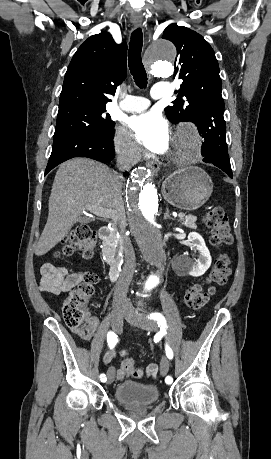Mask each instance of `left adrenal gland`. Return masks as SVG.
<instances>
[{
    "label": "left adrenal gland",
    "instance_id": "left-adrenal-gland-1",
    "mask_svg": "<svg viewBox=\"0 0 271 459\" xmlns=\"http://www.w3.org/2000/svg\"><path fill=\"white\" fill-rule=\"evenodd\" d=\"M163 220H172L170 214H169V208H166V212L164 214Z\"/></svg>",
    "mask_w": 271,
    "mask_h": 459
}]
</instances>
